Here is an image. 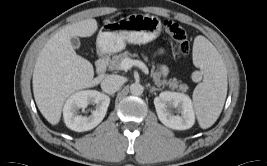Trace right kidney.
Masks as SVG:
<instances>
[{"label":"right kidney","instance_id":"right-kidney-1","mask_svg":"<svg viewBox=\"0 0 267 166\" xmlns=\"http://www.w3.org/2000/svg\"><path fill=\"white\" fill-rule=\"evenodd\" d=\"M96 104V110L90 116L78 115L77 111L85 109L88 104ZM110 98L95 90L79 91L71 95L63 108L65 124L76 132H84L95 128L105 117Z\"/></svg>","mask_w":267,"mask_h":166}]
</instances>
